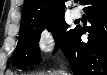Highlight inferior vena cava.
I'll return each mask as SVG.
<instances>
[{
  "label": "inferior vena cava",
  "mask_w": 107,
  "mask_h": 75,
  "mask_svg": "<svg viewBox=\"0 0 107 75\" xmlns=\"http://www.w3.org/2000/svg\"><path fill=\"white\" fill-rule=\"evenodd\" d=\"M61 75H64V72H60Z\"/></svg>",
  "instance_id": "inferior-vena-cava-1"
}]
</instances>
